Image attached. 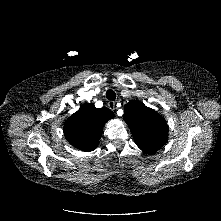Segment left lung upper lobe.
I'll use <instances>...</instances> for the list:
<instances>
[{"instance_id": "left-lung-upper-lobe-1", "label": "left lung upper lobe", "mask_w": 221, "mask_h": 221, "mask_svg": "<svg viewBox=\"0 0 221 221\" xmlns=\"http://www.w3.org/2000/svg\"><path fill=\"white\" fill-rule=\"evenodd\" d=\"M124 120L128 124L136 145L146 154L158 151L168 139V126L156 111L139 101L125 105Z\"/></svg>"}]
</instances>
